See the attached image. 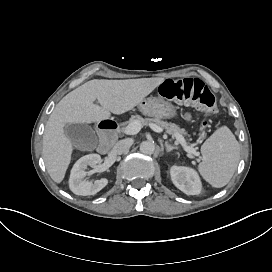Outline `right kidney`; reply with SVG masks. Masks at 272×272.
I'll use <instances>...</instances> for the list:
<instances>
[{
	"label": "right kidney",
	"mask_w": 272,
	"mask_h": 272,
	"mask_svg": "<svg viewBox=\"0 0 272 272\" xmlns=\"http://www.w3.org/2000/svg\"><path fill=\"white\" fill-rule=\"evenodd\" d=\"M100 161L101 157L99 154L85 155L77 160L71 169L69 178V188L74 194L82 196L95 195L108 184V180L106 178L96 180L94 183L84 180L87 166H91L96 169L97 164Z\"/></svg>",
	"instance_id": "ca27d5eb"
}]
</instances>
